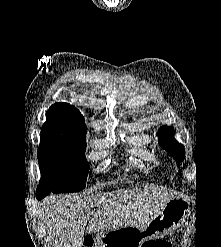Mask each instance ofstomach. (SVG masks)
<instances>
[{
	"label": "stomach",
	"instance_id": "stomach-1",
	"mask_svg": "<svg viewBox=\"0 0 221 247\" xmlns=\"http://www.w3.org/2000/svg\"><path fill=\"white\" fill-rule=\"evenodd\" d=\"M190 204L183 198H173L147 224L126 226L97 235L99 247H143L152 239L175 231L185 220Z\"/></svg>",
	"mask_w": 221,
	"mask_h": 247
}]
</instances>
